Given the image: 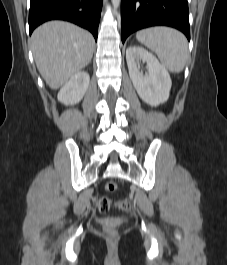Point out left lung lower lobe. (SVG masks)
I'll list each match as a JSON object with an SVG mask.
<instances>
[{
    "label": "left lung lower lobe",
    "instance_id": "obj_1",
    "mask_svg": "<svg viewBox=\"0 0 227 265\" xmlns=\"http://www.w3.org/2000/svg\"><path fill=\"white\" fill-rule=\"evenodd\" d=\"M155 25L171 26L190 40L187 0H121V39Z\"/></svg>",
    "mask_w": 227,
    "mask_h": 265
}]
</instances>
